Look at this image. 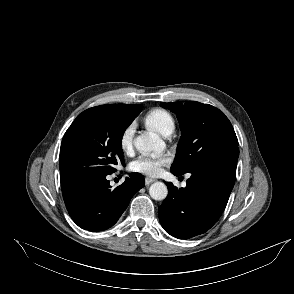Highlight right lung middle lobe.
<instances>
[{"instance_id": "dd1d6c3e", "label": "right lung middle lobe", "mask_w": 294, "mask_h": 294, "mask_svg": "<svg viewBox=\"0 0 294 294\" xmlns=\"http://www.w3.org/2000/svg\"><path fill=\"white\" fill-rule=\"evenodd\" d=\"M141 112V105L125 110L112 104L89 108L66 131L60 149V179L94 174L109 175L124 164L121 140Z\"/></svg>"}]
</instances>
